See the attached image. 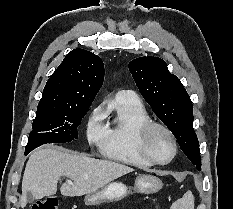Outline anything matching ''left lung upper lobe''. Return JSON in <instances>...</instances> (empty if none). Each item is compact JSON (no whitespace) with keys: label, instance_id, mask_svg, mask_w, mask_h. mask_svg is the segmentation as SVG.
Masks as SVG:
<instances>
[{"label":"left lung upper lobe","instance_id":"obj_1","mask_svg":"<svg viewBox=\"0 0 233 209\" xmlns=\"http://www.w3.org/2000/svg\"><path fill=\"white\" fill-rule=\"evenodd\" d=\"M129 70L144 99L176 137L184 154L201 170L199 143L193 129V105L180 80L158 57L134 59Z\"/></svg>","mask_w":233,"mask_h":209}]
</instances>
